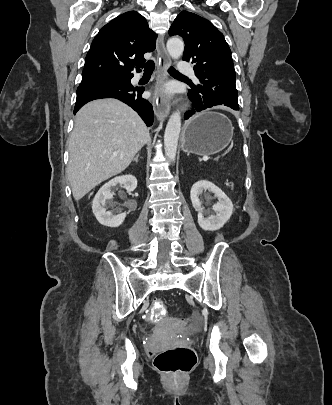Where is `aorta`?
<instances>
[{
  "label": "aorta",
  "instance_id": "obj_1",
  "mask_svg": "<svg viewBox=\"0 0 332 405\" xmlns=\"http://www.w3.org/2000/svg\"><path fill=\"white\" fill-rule=\"evenodd\" d=\"M167 50L173 59H178L184 51L182 39L173 37L167 41ZM181 130V115L174 112L167 123L164 134V152L169 161L174 162L177 153L178 138Z\"/></svg>",
  "mask_w": 332,
  "mask_h": 405
}]
</instances>
